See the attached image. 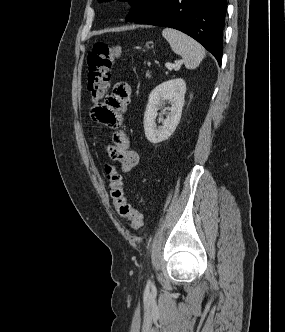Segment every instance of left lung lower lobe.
Instances as JSON below:
<instances>
[{
  "instance_id": "0a47b994",
  "label": "left lung lower lobe",
  "mask_w": 285,
  "mask_h": 332,
  "mask_svg": "<svg viewBox=\"0 0 285 332\" xmlns=\"http://www.w3.org/2000/svg\"><path fill=\"white\" fill-rule=\"evenodd\" d=\"M226 8L227 0H159L135 23L180 30L201 43L221 65Z\"/></svg>"
}]
</instances>
